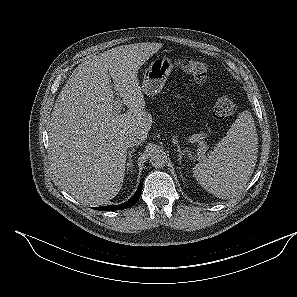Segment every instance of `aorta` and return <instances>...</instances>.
Segmentation results:
<instances>
[{"label": "aorta", "mask_w": 297, "mask_h": 297, "mask_svg": "<svg viewBox=\"0 0 297 297\" xmlns=\"http://www.w3.org/2000/svg\"><path fill=\"white\" fill-rule=\"evenodd\" d=\"M149 162L154 168H162L167 163V156L161 150H155L150 154Z\"/></svg>", "instance_id": "762f6f07"}]
</instances>
